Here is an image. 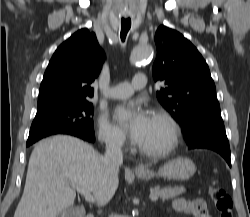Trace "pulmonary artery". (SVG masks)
Listing matches in <instances>:
<instances>
[{"label": "pulmonary artery", "mask_w": 250, "mask_h": 217, "mask_svg": "<svg viewBox=\"0 0 250 217\" xmlns=\"http://www.w3.org/2000/svg\"><path fill=\"white\" fill-rule=\"evenodd\" d=\"M146 84V75L138 73L133 77L131 83L123 82L112 86L105 91V95L111 99H124L130 97L135 90L144 88Z\"/></svg>", "instance_id": "e3ab8cb5"}]
</instances>
